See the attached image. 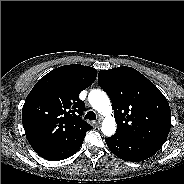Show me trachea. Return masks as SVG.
<instances>
[{"label": "trachea", "instance_id": "obj_1", "mask_svg": "<svg viewBox=\"0 0 184 184\" xmlns=\"http://www.w3.org/2000/svg\"><path fill=\"white\" fill-rule=\"evenodd\" d=\"M85 119L95 120L96 114L93 111H88L85 115Z\"/></svg>", "mask_w": 184, "mask_h": 184}]
</instances>
